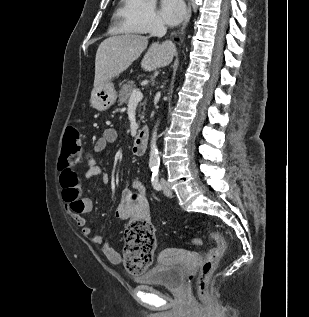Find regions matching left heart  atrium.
I'll return each mask as SVG.
<instances>
[{
    "label": "left heart atrium",
    "mask_w": 309,
    "mask_h": 317,
    "mask_svg": "<svg viewBox=\"0 0 309 317\" xmlns=\"http://www.w3.org/2000/svg\"><path fill=\"white\" fill-rule=\"evenodd\" d=\"M160 13L166 23L176 25L184 18L186 6L183 0H162Z\"/></svg>",
    "instance_id": "left-heart-atrium-1"
}]
</instances>
